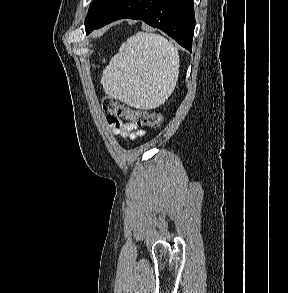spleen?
<instances>
[{"label":"spleen","mask_w":288,"mask_h":293,"mask_svg":"<svg viewBox=\"0 0 288 293\" xmlns=\"http://www.w3.org/2000/svg\"><path fill=\"white\" fill-rule=\"evenodd\" d=\"M179 75L177 48L165 37L138 32L127 39L104 69L105 93L139 109H153L174 91Z\"/></svg>","instance_id":"spleen-1"}]
</instances>
